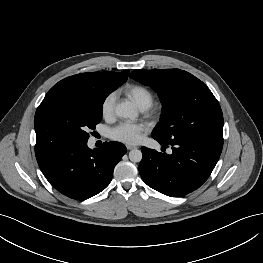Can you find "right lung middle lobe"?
<instances>
[{
  "label": "right lung middle lobe",
  "instance_id": "obj_1",
  "mask_svg": "<svg viewBox=\"0 0 263 263\" xmlns=\"http://www.w3.org/2000/svg\"><path fill=\"white\" fill-rule=\"evenodd\" d=\"M118 86L101 83L73 97L42 101L34 119L36 159L87 142L88 131L94 130L102 119L105 98Z\"/></svg>",
  "mask_w": 263,
  "mask_h": 263
}]
</instances>
